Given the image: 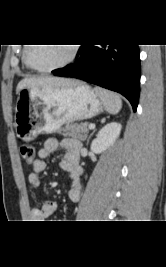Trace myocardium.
<instances>
[{
  "label": "myocardium",
  "mask_w": 166,
  "mask_h": 267,
  "mask_svg": "<svg viewBox=\"0 0 166 267\" xmlns=\"http://www.w3.org/2000/svg\"><path fill=\"white\" fill-rule=\"evenodd\" d=\"M31 45L32 44H28L25 47L24 53H23V60H24V62L26 64V66L29 69H31L33 71H36V72H39V73L52 72V71L61 69L63 67H66L67 65H69L74 60V58L76 57V54H77V47L74 44H71L70 53H69L68 57L63 62H61L58 65H55V66H52V67H48V68H38V67L33 66L29 61V50L32 47Z\"/></svg>",
  "instance_id": "f54148a6"
}]
</instances>
